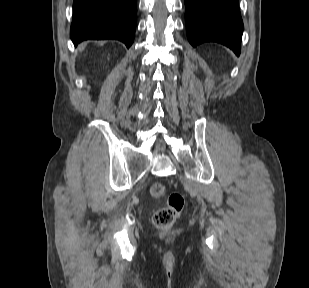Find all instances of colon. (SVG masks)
Returning <instances> with one entry per match:
<instances>
[{
  "label": "colon",
  "instance_id": "obj_1",
  "mask_svg": "<svg viewBox=\"0 0 309 288\" xmlns=\"http://www.w3.org/2000/svg\"><path fill=\"white\" fill-rule=\"evenodd\" d=\"M150 194L157 200L167 198V204L154 213L153 223L159 229L170 228L183 210L185 203L183 195L178 192L167 195L166 187L162 183L153 184Z\"/></svg>",
  "mask_w": 309,
  "mask_h": 288
}]
</instances>
